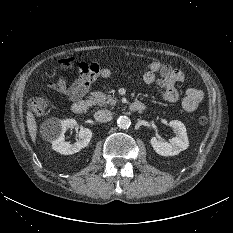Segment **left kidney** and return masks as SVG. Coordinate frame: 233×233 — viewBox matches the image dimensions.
Returning a JSON list of instances; mask_svg holds the SVG:
<instances>
[{"instance_id":"obj_1","label":"left kidney","mask_w":233,"mask_h":233,"mask_svg":"<svg viewBox=\"0 0 233 233\" xmlns=\"http://www.w3.org/2000/svg\"><path fill=\"white\" fill-rule=\"evenodd\" d=\"M169 126L173 129L176 137L170 139L169 142H164L156 137H152L150 143L155 152L162 156H174L184 151L189 146V140L185 125L178 120H172Z\"/></svg>"}]
</instances>
